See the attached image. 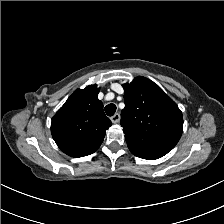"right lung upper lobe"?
<instances>
[{"instance_id":"right-lung-upper-lobe-1","label":"right lung upper lobe","mask_w":224,"mask_h":224,"mask_svg":"<svg viewBox=\"0 0 224 224\" xmlns=\"http://www.w3.org/2000/svg\"><path fill=\"white\" fill-rule=\"evenodd\" d=\"M99 90L96 84L77 89L52 118L51 133L55 142L74 144L80 156L95 152L112 125L97 97Z\"/></svg>"}]
</instances>
